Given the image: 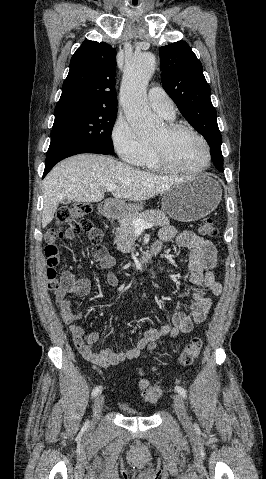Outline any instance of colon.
Here are the masks:
<instances>
[{
	"mask_svg": "<svg viewBox=\"0 0 266 479\" xmlns=\"http://www.w3.org/2000/svg\"><path fill=\"white\" fill-rule=\"evenodd\" d=\"M91 211V205L85 202L64 206L57 212L58 224L67 226L72 232H80L87 235L92 244L99 245L102 239V232L87 218ZM199 231L205 236H217L218 230L215 226V220L212 217L202 219ZM58 234L59 230L53 229L46 235L47 245L45 247V255L47 258V277L50 288L56 281L57 267L61 262V252L54 244ZM201 348L202 340L200 338H193L190 340L179 356L180 364L183 366L193 364V362L199 357ZM140 375L142 378L139 381V387L143 399L149 403L157 402L161 397V390L148 378L144 377L143 371H140Z\"/></svg>",
	"mask_w": 266,
	"mask_h": 479,
	"instance_id": "5ec220e1",
	"label": "colon"
}]
</instances>
